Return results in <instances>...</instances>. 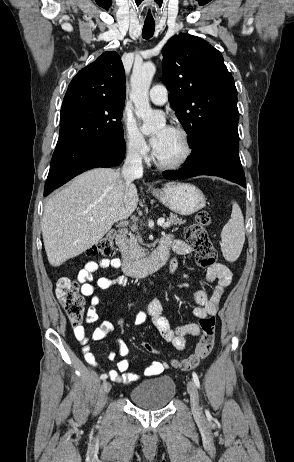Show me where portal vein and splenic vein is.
Returning <instances> with one entry per match:
<instances>
[{
    "mask_svg": "<svg viewBox=\"0 0 294 462\" xmlns=\"http://www.w3.org/2000/svg\"><path fill=\"white\" fill-rule=\"evenodd\" d=\"M157 225L163 226V225H168V223L165 222V219H164V218H160V219H158V221H157Z\"/></svg>",
    "mask_w": 294,
    "mask_h": 462,
    "instance_id": "portal-vein-and-splenic-vein-1",
    "label": "portal vein and splenic vein"
}]
</instances>
